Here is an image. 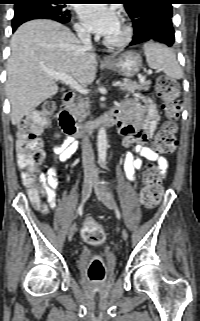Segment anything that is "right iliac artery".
Wrapping results in <instances>:
<instances>
[{"label": "right iliac artery", "instance_id": "right-iliac-artery-1", "mask_svg": "<svg viewBox=\"0 0 200 321\" xmlns=\"http://www.w3.org/2000/svg\"><path fill=\"white\" fill-rule=\"evenodd\" d=\"M82 207H83V204H81L78 209H77V213H80L82 211Z\"/></svg>", "mask_w": 200, "mask_h": 321}]
</instances>
